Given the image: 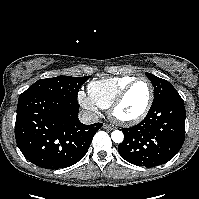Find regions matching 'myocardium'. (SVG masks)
I'll return each mask as SVG.
<instances>
[{"label":"myocardium","mask_w":199,"mask_h":199,"mask_svg":"<svg viewBox=\"0 0 199 199\" xmlns=\"http://www.w3.org/2000/svg\"><path fill=\"white\" fill-rule=\"evenodd\" d=\"M139 81H146L149 84L150 94L148 101L143 109V111L136 117L133 118H120L117 116L116 111L119 106L123 103L124 99L126 98L130 89ZM155 90L152 82L145 76H139L134 78L115 98L112 104L109 106L108 114L110 118L115 121L116 123L123 125V126H130L141 122L149 113L151 106L154 101Z\"/></svg>","instance_id":"myocardium-1"}]
</instances>
